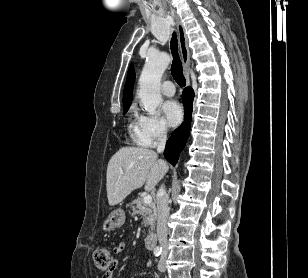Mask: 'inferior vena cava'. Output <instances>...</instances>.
<instances>
[{"label": "inferior vena cava", "instance_id": "1", "mask_svg": "<svg viewBox=\"0 0 308 278\" xmlns=\"http://www.w3.org/2000/svg\"><path fill=\"white\" fill-rule=\"evenodd\" d=\"M167 140V132L165 129H161L158 134V146L157 152L162 153L165 149ZM157 236L159 244L162 248V254L166 255L167 250V219L169 216L168 207V194L164 185H162L157 192Z\"/></svg>", "mask_w": 308, "mask_h": 278}]
</instances>
